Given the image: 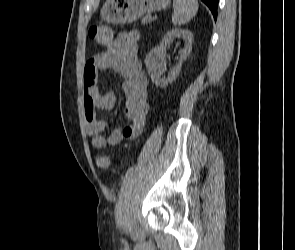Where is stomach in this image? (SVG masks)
Instances as JSON below:
<instances>
[{"mask_svg": "<svg viewBox=\"0 0 295 250\" xmlns=\"http://www.w3.org/2000/svg\"><path fill=\"white\" fill-rule=\"evenodd\" d=\"M170 0H106L100 15L114 24L135 21L144 14L166 9Z\"/></svg>", "mask_w": 295, "mask_h": 250, "instance_id": "1", "label": "stomach"}]
</instances>
